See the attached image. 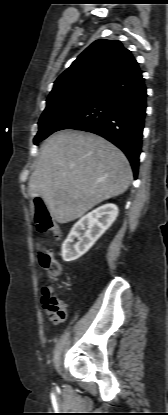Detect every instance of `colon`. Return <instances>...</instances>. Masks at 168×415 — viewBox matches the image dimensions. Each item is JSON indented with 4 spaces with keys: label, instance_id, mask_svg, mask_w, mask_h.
<instances>
[{
    "label": "colon",
    "instance_id": "1",
    "mask_svg": "<svg viewBox=\"0 0 168 415\" xmlns=\"http://www.w3.org/2000/svg\"><path fill=\"white\" fill-rule=\"evenodd\" d=\"M35 224L39 233H52L57 239L61 237L60 228L52 221L50 213L43 202L35 204ZM39 262L50 279H57L62 274L60 263L48 251L39 253Z\"/></svg>",
    "mask_w": 168,
    "mask_h": 415
}]
</instances>
